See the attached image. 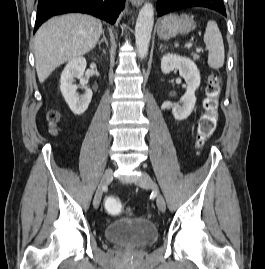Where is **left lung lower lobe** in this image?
Returning a JSON list of instances; mask_svg holds the SVG:
<instances>
[{"instance_id":"obj_1","label":"left lung lower lobe","mask_w":265,"mask_h":269,"mask_svg":"<svg viewBox=\"0 0 265 269\" xmlns=\"http://www.w3.org/2000/svg\"><path fill=\"white\" fill-rule=\"evenodd\" d=\"M189 7H206L226 16L223 0H159L157 2L158 16Z\"/></svg>"}]
</instances>
